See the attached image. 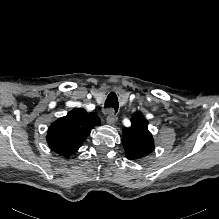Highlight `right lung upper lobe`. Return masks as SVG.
Segmentation results:
<instances>
[{
	"instance_id": "obj_1",
	"label": "right lung upper lobe",
	"mask_w": 219,
	"mask_h": 219,
	"mask_svg": "<svg viewBox=\"0 0 219 219\" xmlns=\"http://www.w3.org/2000/svg\"><path fill=\"white\" fill-rule=\"evenodd\" d=\"M99 124L100 119L95 113L75 108L51 124L46 140L57 154L69 157L81 147L91 129Z\"/></svg>"
}]
</instances>
